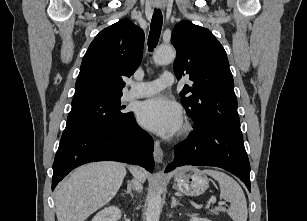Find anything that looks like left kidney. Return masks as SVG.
Returning a JSON list of instances; mask_svg holds the SVG:
<instances>
[{
  "label": "left kidney",
  "mask_w": 307,
  "mask_h": 221,
  "mask_svg": "<svg viewBox=\"0 0 307 221\" xmlns=\"http://www.w3.org/2000/svg\"><path fill=\"white\" fill-rule=\"evenodd\" d=\"M190 221H211V220H209V219H207V218H200V217H198V216H193V217L190 219Z\"/></svg>",
  "instance_id": "left-kidney-1"
}]
</instances>
